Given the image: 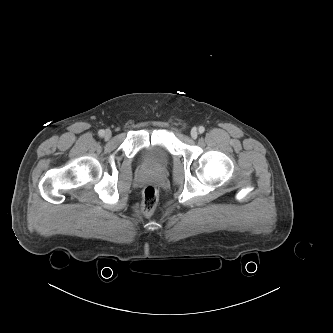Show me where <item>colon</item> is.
<instances>
[{
    "instance_id": "colon-1",
    "label": "colon",
    "mask_w": 333,
    "mask_h": 333,
    "mask_svg": "<svg viewBox=\"0 0 333 333\" xmlns=\"http://www.w3.org/2000/svg\"><path fill=\"white\" fill-rule=\"evenodd\" d=\"M158 204V192L153 186H146L142 194L141 209L144 215L151 216Z\"/></svg>"
}]
</instances>
